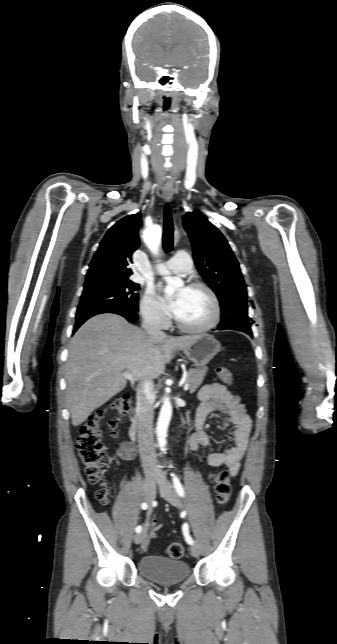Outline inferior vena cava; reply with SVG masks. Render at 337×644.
<instances>
[{"label": "inferior vena cava", "mask_w": 337, "mask_h": 644, "mask_svg": "<svg viewBox=\"0 0 337 644\" xmlns=\"http://www.w3.org/2000/svg\"><path fill=\"white\" fill-rule=\"evenodd\" d=\"M153 315L147 314L143 318L142 327L147 335L152 338H165L164 332L152 319ZM153 381L146 379L137 388L136 412L138 418V447L139 453L147 475H159L161 469L156 463L155 445L153 441Z\"/></svg>", "instance_id": "inferior-vena-cava-1"}]
</instances>
